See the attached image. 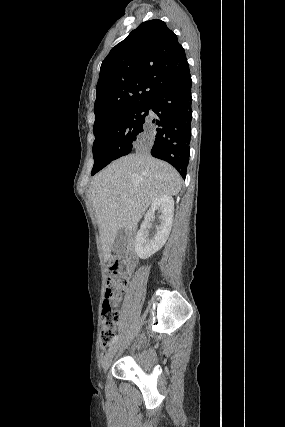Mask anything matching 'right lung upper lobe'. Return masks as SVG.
<instances>
[{"label":"right lung upper lobe","instance_id":"cb5924a9","mask_svg":"<svg viewBox=\"0 0 285 427\" xmlns=\"http://www.w3.org/2000/svg\"><path fill=\"white\" fill-rule=\"evenodd\" d=\"M188 73L185 51L165 22H143L102 62L94 127L122 110L148 102Z\"/></svg>","mask_w":285,"mask_h":427}]
</instances>
